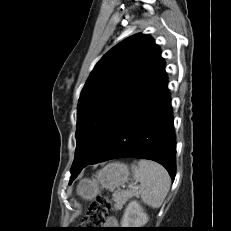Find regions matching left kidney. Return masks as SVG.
Returning a JSON list of instances; mask_svg holds the SVG:
<instances>
[{
	"label": "left kidney",
	"instance_id": "left-kidney-1",
	"mask_svg": "<svg viewBox=\"0 0 231 231\" xmlns=\"http://www.w3.org/2000/svg\"><path fill=\"white\" fill-rule=\"evenodd\" d=\"M148 222V215L136 201H131L124 211L121 221L122 228H140Z\"/></svg>",
	"mask_w": 231,
	"mask_h": 231
}]
</instances>
